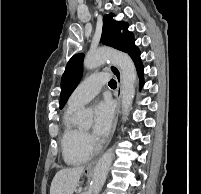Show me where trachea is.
<instances>
[{
    "instance_id": "3493384b",
    "label": "trachea",
    "mask_w": 201,
    "mask_h": 194,
    "mask_svg": "<svg viewBox=\"0 0 201 194\" xmlns=\"http://www.w3.org/2000/svg\"><path fill=\"white\" fill-rule=\"evenodd\" d=\"M117 83L114 79H111L110 82H109V86L110 87H116Z\"/></svg>"
}]
</instances>
